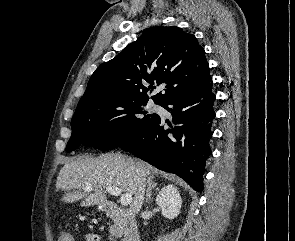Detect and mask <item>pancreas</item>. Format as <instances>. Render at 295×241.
Listing matches in <instances>:
<instances>
[{
	"instance_id": "cf45deb5",
	"label": "pancreas",
	"mask_w": 295,
	"mask_h": 241,
	"mask_svg": "<svg viewBox=\"0 0 295 241\" xmlns=\"http://www.w3.org/2000/svg\"><path fill=\"white\" fill-rule=\"evenodd\" d=\"M109 228V232L112 236L120 237L127 232V221L126 219L115 220Z\"/></svg>"
}]
</instances>
